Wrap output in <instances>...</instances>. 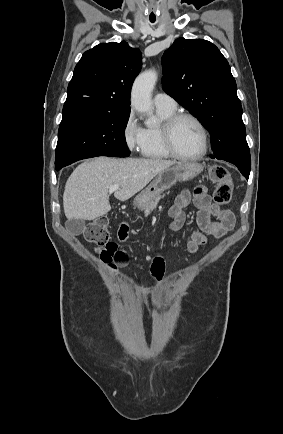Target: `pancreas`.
I'll return each mask as SVG.
<instances>
[{"label":"pancreas","mask_w":283,"mask_h":434,"mask_svg":"<svg viewBox=\"0 0 283 434\" xmlns=\"http://www.w3.org/2000/svg\"><path fill=\"white\" fill-rule=\"evenodd\" d=\"M164 197V195H159L158 197H156L151 203H149L147 206H145V207H143V208H140L141 210H143L144 211V213H145V216H147L149 213H150V211L152 210V209H154L156 206H157V204H158V202L160 201V199L161 198H163Z\"/></svg>","instance_id":"cf45deb5"}]
</instances>
